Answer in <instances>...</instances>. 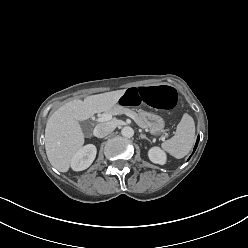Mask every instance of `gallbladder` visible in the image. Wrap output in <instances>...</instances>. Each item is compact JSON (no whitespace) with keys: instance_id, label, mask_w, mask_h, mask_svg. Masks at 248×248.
Here are the masks:
<instances>
[{"instance_id":"obj_1","label":"gallbladder","mask_w":248,"mask_h":248,"mask_svg":"<svg viewBox=\"0 0 248 248\" xmlns=\"http://www.w3.org/2000/svg\"><path fill=\"white\" fill-rule=\"evenodd\" d=\"M80 125L84 131H88L90 127V123L88 121H82L80 122Z\"/></svg>"}]
</instances>
